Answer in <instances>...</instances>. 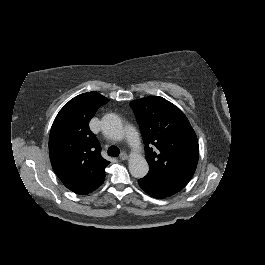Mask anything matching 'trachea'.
Listing matches in <instances>:
<instances>
[{
  "mask_svg": "<svg viewBox=\"0 0 265 265\" xmlns=\"http://www.w3.org/2000/svg\"><path fill=\"white\" fill-rule=\"evenodd\" d=\"M109 156H118L120 154V150L116 146H110L107 150Z\"/></svg>",
  "mask_w": 265,
  "mask_h": 265,
  "instance_id": "obj_1",
  "label": "trachea"
}]
</instances>
